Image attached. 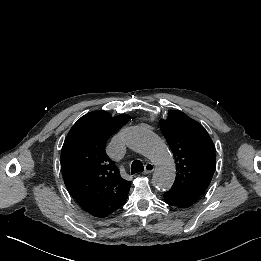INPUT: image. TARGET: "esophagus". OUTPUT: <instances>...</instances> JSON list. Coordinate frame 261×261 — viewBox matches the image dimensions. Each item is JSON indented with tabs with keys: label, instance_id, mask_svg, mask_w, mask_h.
<instances>
[{
	"label": "esophagus",
	"instance_id": "34e87169",
	"mask_svg": "<svg viewBox=\"0 0 261 261\" xmlns=\"http://www.w3.org/2000/svg\"><path fill=\"white\" fill-rule=\"evenodd\" d=\"M153 171H154V165L150 162L146 163L143 174L147 175V174L152 173Z\"/></svg>",
	"mask_w": 261,
	"mask_h": 261
}]
</instances>
